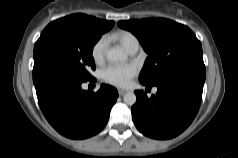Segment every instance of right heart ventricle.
Here are the masks:
<instances>
[{
    "label": "right heart ventricle",
    "instance_id": "obj_1",
    "mask_svg": "<svg viewBox=\"0 0 238 158\" xmlns=\"http://www.w3.org/2000/svg\"><path fill=\"white\" fill-rule=\"evenodd\" d=\"M115 37L126 50H128L133 44L138 43L135 35L128 31L119 32Z\"/></svg>",
    "mask_w": 238,
    "mask_h": 158
}]
</instances>
